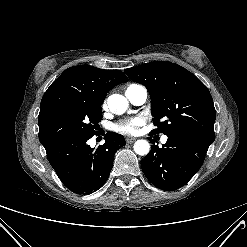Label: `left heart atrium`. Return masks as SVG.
I'll return each instance as SVG.
<instances>
[{
  "label": "left heart atrium",
  "mask_w": 247,
  "mask_h": 247,
  "mask_svg": "<svg viewBox=\"0 0 247 247\" xmlns=\"http://www.w3.org/2000/svg\"><path fill=\"white\" fill-rule=\"evenodd\" d=\"M144 116L138 115L130 118L123 119L113 125L116 132L123 134H135L139 127L145 123Z\"/></svg>",
  "instance_id": "obj_1"
}]
</instances>
